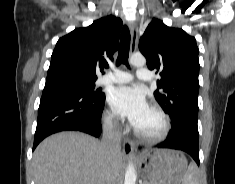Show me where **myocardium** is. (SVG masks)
I'll return each mask as SVG.
<instances>
[{
    "mask_svg": "<svg viewBox=\"0 0 235 184\" xmlns=\"http://www.w3.org/2000/svg\"><path fill=\"white\" fill-rule=\"evenodd\" d=\"M150 109L155 111L161 117L163 121L162 130L155 135H143L136 128H134L133 133L136 139H138L141 142L152 143V144L159 143L165 140L170 135L172 128L171 118L168 115V113L158 105H151Z\"/></svg>",
    "mask_w": 235,
    "mask_h": 184,
    "instance_id": "myocardium-1",
    "label": "myocardium"
}]
</instances>
